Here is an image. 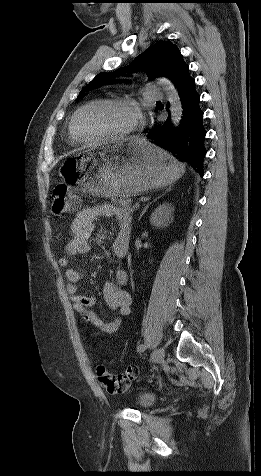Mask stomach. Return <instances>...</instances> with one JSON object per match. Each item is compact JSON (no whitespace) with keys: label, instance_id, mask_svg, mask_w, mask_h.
Masks as SVG:
<instances>
[{"label":"stomach","instance_id":"0dacf381","mask_svg":"<svg viewBox=\"0 0 261 476\" xmlns=\"http://www.w3.org/2000/svg\"><path fill=\"white\" fill-rule=\"evenodd\" d=\"M62 173L83 195L127 198L166 187L184 166L150 142L131 137L117 144H93V151L68 156Z\"/></svg>","mask_w":261,"mask_h":476}]
</instances>
